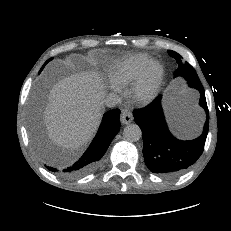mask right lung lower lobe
<instances>
[{
    "instance_id": "obj_1",
    "label": "right lung lower lobe",
    "mask_w": 231,
    "mask_h": 231,
    "mask_svg": "<svg viewBox=\"0 0 231 231\" xmlns=\"http://www.w3.org/2000/svg\"><path fill=\"white\" fill-rule=\"evenodd\" d=\"M119 117V109H113L105 113L95 138L79 160L61 169L52 167H47V169L67 177H79L94 171L111 141L120 130Z\"/></svg>"
}]
</instances>
